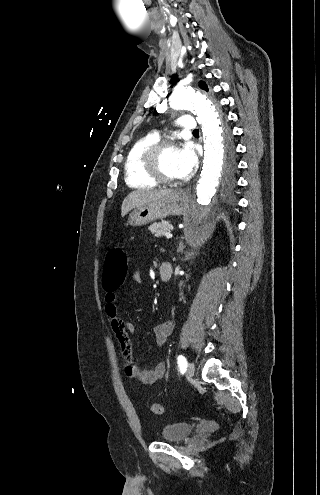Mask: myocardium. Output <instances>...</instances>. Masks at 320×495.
I'll use <instances>...</instances> for the list:
<instances>
[{"instance_id":"1","label":"myocardium","mask_w":320,"mask_h":495,"mask_svg":"<svg viewBox=\"0 0 320 495\" xmlns=\"http://www.w3.org/2000/svg\"><path fill=\"white\" fill-rule=\"evenodd\" d=\"M167 148H178L176 141L167 138L150 145L142 155V166L145 173L157 183L174 185L178 180L165 176L160 169V157Z\"/></svg>"}]
</instances>
